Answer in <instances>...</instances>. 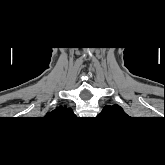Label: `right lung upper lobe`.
Masks as SVG:
<instances>
[{"instance_id":"right-lung-upper-lobe-1","label":"right lung upper lobe","mask_w":165,"mask_h":165,"mask_svg":"<svg viewBox=\"0 0 165 165\" xmlns=\"http://www.w3.org/2000/svg\"><path fill=\"white\" fill-rule=\"evenodd\" d=\"M72 115H74V113L71 108L60 105L59 107H56L55 110L47 113L46 117L62 119Z\"/></svg>"}]
</instances>
